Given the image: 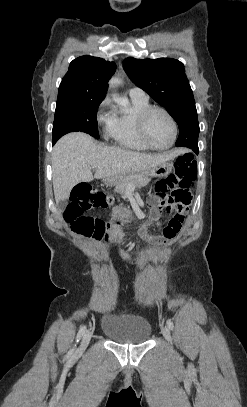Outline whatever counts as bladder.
I'll list each match as a JSON object with an SVG mask.
<instances>
[{
  "instance_id": "bladder-1",
  "label": "bladder",
  "mask_w": 247,
  "mask_h": 407,
  "mask_svg": "<svg viewBox=\"0 0 247 407\" xmlns=\"http://www.w3.org/2000/svg\"><path fill=\"white\" fill-rule=\"evenodd\" d=\"M102 331L113 342L122 344L145 343L151 336L149 321L136 314L107 312L101 321Z\"/></svg>"
}]
</instances>
